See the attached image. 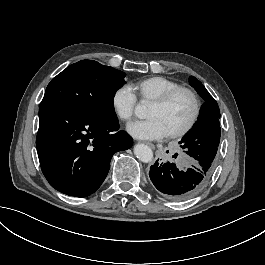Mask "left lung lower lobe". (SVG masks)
Returning a JSON list of instances; mask_svg holds the SVG:
<instances>
[{"mask_svg": "<svg viewBox=\"0 0 265 265\" xmlns=\"http://www.w3.org/2000/svg\"><path fill=\"white\" fill-rule=\"evenodd\" d=\"M214 169L212 161H193L191 167L180 168L174 163L158 161L151 166L149 176L155 188L174 201H185L202 191Z\"/></svg>", "mask_w": 265, "mask_h": 265, "instance_id": "1", "label": "left lung lower lobe"}]
</instances>
